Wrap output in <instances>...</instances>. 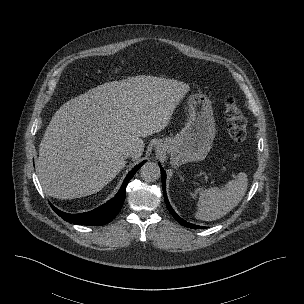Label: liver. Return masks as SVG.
I'll use <instances>...</instances> for the list:
<instances>
[{
  "instance_id": "1",
  "label": "liver",
  "mask_w": 304,
  "mask_h": 304,
  "mask_svg": "<svg viewBox=\"0 0 304 304\" xmlns=\"http://www.w3.org/2000/svg\"><path fill=\"white\" fill-rule=\"evenodd\" d=\"M189 91L178 80L139 75L63 104L40 143L36 170L44 192L74 199L100 191L125 167L128 148L141 157V138L163 130Z\"/></svg>"
}]
</instances>
